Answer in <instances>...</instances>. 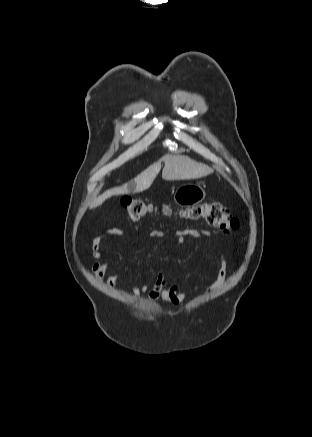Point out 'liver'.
<instances>
[{"label": "liver", "instance_id": "6515ba94", "mask_svg": "<svg viewBox=\"0 0 312 437\" xmlns=\"http://www.w3.org/2000/svg\"><path fill=\"white\" fill-rule=\"evenodd\" d=\"M161 161H164L165 166L162 171L164 180H188L208 176L213 173V169L209 166L196 162L185 155L167 154L161 160L150 165L147 169L141 172L134 178V185L131 187L124 184L105 191L96 198L90 205V208H96L103 204L105 200L113 195L128 194L131 191L135 193L147 190L155 180L161 170Z\"/></svg>", "mask_w": 312, "mask_h": 437}]
</instances>
